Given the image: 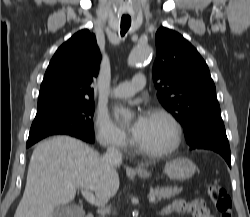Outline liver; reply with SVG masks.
<instances>
[{"mask_svg": "<svg viewBox=\"0 0 250 217\" xmlns=\"http://www.w3.org/2000/svg\"><path fill=\"white\" fill-rule=\"evenodd\" d=\"M77 188L95 192L106 203L119 189V176L104 157L78 139L45 140L32 153L14 217H53L55 208L73 201Z\"/></svg>", "mask_w": 250, "mask_h": 217, "instance_id": "liver-1", "label": "liver"}]
</instances>
